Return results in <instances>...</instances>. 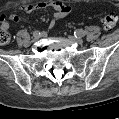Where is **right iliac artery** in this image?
Listing matches in <instances>:
<instances>
[{
    "instance_id": "82829eb1",
    "label": "right iliac artery",
    "mask_w": 119,
    "mask_h": 119,
    "mask_svg": "<svg viewBox=\"0 0 119 119\" xmlns=\"http://www.w3.org/2000/svg\"><path fill=\"white\" fill-rule=\"evenodd\" d=\"M38 34L40 35L41 33L39 31H34L33 36Z\"/></svg>"
}]
</instances>
